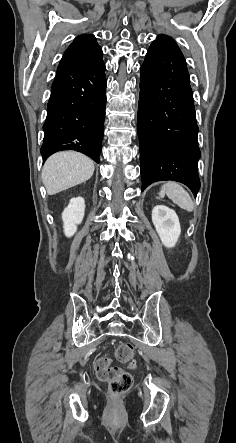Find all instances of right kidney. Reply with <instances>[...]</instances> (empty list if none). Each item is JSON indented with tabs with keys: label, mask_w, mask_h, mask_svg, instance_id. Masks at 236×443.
<instances>
[{
	"label": "right kidney",
	"mask_w": 236,
	"mask_h": 443,
	"mask_svg": "<svg viewBox=\"0 0 236 443\" xmlns=\"http://www.w3.org/2000/svg\"><path fill=\"white\" fill-rule=\"evenodd\" d=\"M85 201L82 197L72 198L69 205L62 213L64 223V233L67 237H71L77 230L84 217Z\"/></svg>",
	"instance_id": "obj_1"
}]
</instances>
